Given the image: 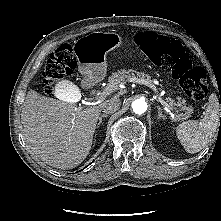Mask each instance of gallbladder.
I'll list each match as a JSON object with an SVG mask.
<instances>
[{
    "instance_id": "bac80fb5",
    "label": "gallbladder",
    "mask_w": 221,
    "mask_h": 221,
    "mask_svg": "<svg viewBox=\"0 0 221 221\" xmlns=\"http://www.w3.org/2000/svg\"><path fill=\"white\" fill-rule=\"evenodd\" d=\"M53 95L69 104L78 102L82 96L80 87L70 81L59 78L51 86Z\"/></svg>"
}]
</instances>
